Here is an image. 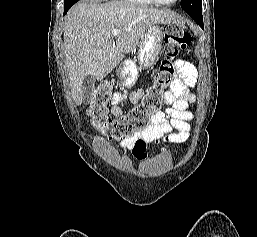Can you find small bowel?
Wrapping results in <instances>:
<instances>
[{"label": "small bowel", "mask_w": 257, "mask_h": 237, "mask_svg": "<svg viewBox=\"0 0 257 237\" xmlns=\"http://www.w3.org/2000/svg\"><path fill=\"white\" fill-rule=\"evenodd\" d=\"M176 66L179 77L172 81L170 90L164 95L165 110L155 114L144 130L121 142V147L137 160L147 158L146 146L149 143H183L189 138L188 122L192 119V114L188 111V106L195 100L190 90L196 83L197 71L188 61L179 60ZM143 94V89L129 95L125 92L116 93L111 113L114 116L121 115L127 102L135 104Z\"/></svg>", "instance_id": "1"}]
</instances>
